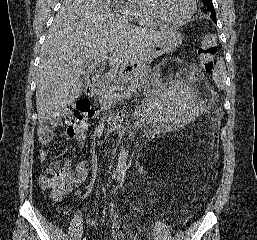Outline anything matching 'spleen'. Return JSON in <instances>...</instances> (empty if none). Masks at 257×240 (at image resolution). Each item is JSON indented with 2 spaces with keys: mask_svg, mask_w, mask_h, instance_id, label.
<instances>
[{
  "mask_svg": "<svg viewBox=\"0 0 257 240\" xmlns=\"http://www.w3.org/2000/svg\"><path fill=\"white\" fill-rule=\"evenodd\" d=\"M225 64L222 58H220L216 65V70L213 73V78L216 85L223 89L225 87V79H226V72H225Z\"/></svg>",
  "mask_w": 257,
  "mask_h": 240,
  "instance_id": "3e777b00",
  "label": "spleen"
}]
</instances>
